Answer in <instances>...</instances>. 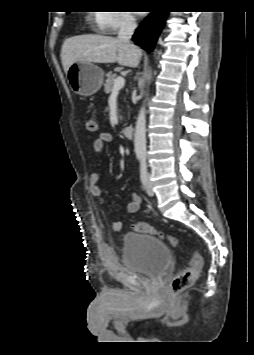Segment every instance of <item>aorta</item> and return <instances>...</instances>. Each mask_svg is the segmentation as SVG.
I'll return each instance as SVG.
<instances>
[{
    "label": "aorta",
    "instance_id": "aorta-1",
    "mask_svg": "<svg viewBox=\"0 0 254 355\" xmlns=\"http://www.w3.org/2000/svg\"><path fill=\"white\" fill-rule=\"evenodd\" d=\"M151 78V72L148 74V79ZM134 148L138 158H144L146 156V110L142 106L135 126L134 134Z\"/></svg>",
    "mask_w": 254,
    "mask_h": 355
}]
</instances>
